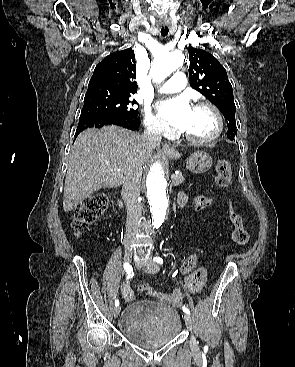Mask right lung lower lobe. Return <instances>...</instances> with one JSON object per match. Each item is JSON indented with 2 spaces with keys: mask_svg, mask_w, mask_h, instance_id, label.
I'll list each match as a JSON object with an SVG mask.
<instances>
[{
  "mask_svg": "<svg viewBox=\"0 0 295 367\" xmlns=\"http://www.w3.org/2000/svg\"><path fill=\"white\" fill-rule=\"evenodd\" d=\"M118 125L130 130H137L140 120L136 116H110V117H91L80 119L76 129L75 137L88 128H101L104 125Z\"/></svg>",
  "mask_w": 295,
  "mask_h": 367,
  "instance_id": "98d812e1",
  "label": "right lung lower lobe"
}]
</instances>
